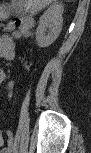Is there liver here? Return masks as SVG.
I'll return each instance as SVG.
<instances>
[{
	"label": "liver",
	"instance_id": "obj_1",
	"mask_svg": "<svg viewBox=\"0 0 91 153\" xmlns=\"http://www.w3.org/2000/svg\"><path fill=\"white\" fill-rule=\"evenodd\" d=\"M15 4H24L27 6V9H31L32 13H35L42 9L44 6L52 2V0H15Z\"/></svg>",
	"mask_w": 91,
	"mask_h": 153
}]
</instances>
